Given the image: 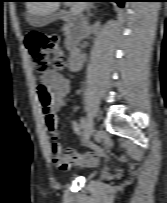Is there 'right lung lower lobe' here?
Returning <instances> with one entry per match:
<instances>
[{
	"mask_svg": "<svg viewBox=\"0 0 167 203\" xmlns=\"http://www.w3.org/2000/svg\"><path fill=\"white\" fill-rule=\"evenodd\" d=\"M30 1V0H29ZM79 1H104V2H116L120 7H123L124 2L131 0H79Z\"/></svg>",
	"mask_w": 167,
	"mask_h": 203,
	"instance_id": "right-lung-lower-lobe-1",
	"label": "right lung lower lobe"
}]
</instances>
